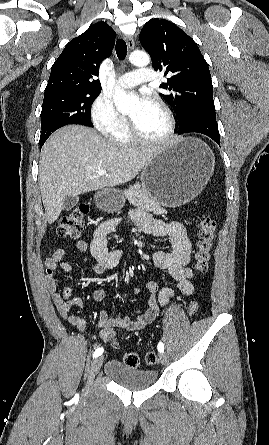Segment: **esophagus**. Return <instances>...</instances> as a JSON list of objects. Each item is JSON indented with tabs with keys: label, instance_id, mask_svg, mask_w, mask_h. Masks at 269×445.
I'll return each mask as SVG.
<instances>
[{
	"label": "esophagus",
	"instance_id": "obj_1",
	"mask_svg": "<svg viewBox=\"0 0 269 445\" xmlns=\"http://www.w3.org/2000/svg\"><path fill=\"white\" fill-rule=\"evenodd\" d=\"M124 39H125V41H126V43H127L128 48H129L130 50H132V49L134 48V40H133V38L130 37V36H125Z\"/></svg>",
	"mask_w": 269,
	"mask_h": 445
}]
</instances>
